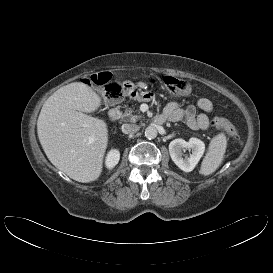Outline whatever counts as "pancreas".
Returning a JSON list of instances; mask_svg holds the SVG:
<instances>
[{
    "instance_id": "cf45deb5",
    "label": "pancreas",
    "mask_w": 273,
    "mask_h": 273,
    "mask_svg": "<svg viewBox=\"0 0 273 273\" xmlns=\"http://www.w3.org/2000/svg\"><path fill=\"white\" fill-rule=\"evenodd\" d=\"M135 112H138V113L134 114ZM123 117L125 120L131 123H135L143 119V116L140 114L138 110H135L134 108H128V107L125 108Z\"/></svg>"
}]
</instances>
